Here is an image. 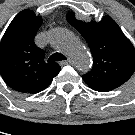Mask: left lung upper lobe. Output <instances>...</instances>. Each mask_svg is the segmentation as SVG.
Segmentation results:
<instances>
[{
    "label": "left lung upper lobe",
    "instance_id": "1",
    "mask_svg": "<svg viewBox=\"0 0 135 135\" xmlns=\"http://www.w3.org/2000/svg\"><path fill=\"white\" fill-rule=\"evenodd\" d=\"M67 21L86 39L93 55L90 72L82 76L93 90L108 92L124 84L135 72V48L117 23L108 15L100 22L77 20L74 13Z\"/></svg>",
    "mask_w": 135,
    "mask_h": 135
}]
</instances>
